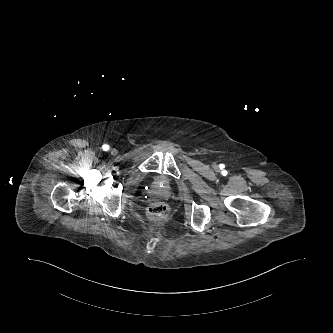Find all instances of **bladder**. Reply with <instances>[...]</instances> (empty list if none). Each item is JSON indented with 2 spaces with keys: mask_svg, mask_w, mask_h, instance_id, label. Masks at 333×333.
I'll use <instances>...</instances> for the list:
<instances>
[{
  "mask_svg": "<svg viewBox=\"0 0 333 333\" xmlns=\"http://www.w3.org/2000/svg\"><path fill=\"white\" fill-rule=\"evenodd\" d=\"M158 182H159V183H165V181H164L163 178H159V179H158Z\"/></svg>",
  "mask_w": 333,
  "mask_h": 333,
  "instance_id": "obj_1",
  "label": "bladder"
}]
</instances>
